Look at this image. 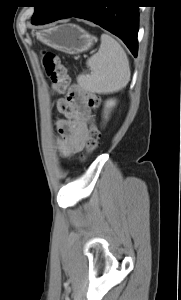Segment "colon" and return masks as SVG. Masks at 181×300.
Instances as JSON below:
<instances>
[{
	"mask_svg": "<svg viewBox=\"0 0 181 300\" xmlns=\"http://www.w3.org/2000/svg\"><path fill=\"white\" fill-rule=\"evenodd\" d=\"M44 67L48 78L51 81L52 90L58 94H65L67 103L61 106L60 112L66 117H70L73 109L84 103L87 107L97 109L100 105V98L92 91L85 90L78 85L71 83L66 66L61 62L60 58L52 53L44 56ZM100 131L95 122L91 119L84 140L83 159H86L99 146Z\"/></svg>",
	"mask_w": 181,
	"mask_h": 300,
	"instance_id": "colon-1",
	"label": "colon"
}]
</instances>
